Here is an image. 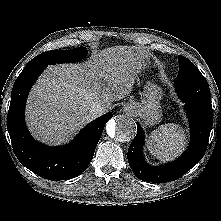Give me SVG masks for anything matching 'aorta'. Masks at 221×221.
Masks as SVG:
<instances>
[{
    "mask_svg": "<svg viewBox=\"0 0 221 221\" xmlns=\"http://www.w3.org/2000/svg\"><path fill=\"white\" fill-rule=\"evenodd\" d=\"M106 132L115 141L129 142L136 134V124L130 117L117 115L107 122Z\"/></svg>",
    "mask_w": 221,
    "mask_h": 221,
    "instance_id": "1",
    "label": "aorta"
}]
</instances>
